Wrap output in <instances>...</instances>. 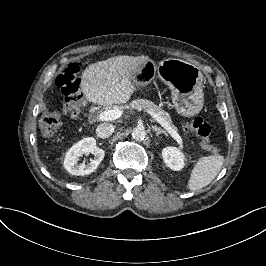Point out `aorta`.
<instances>
[{
  "label": "aorta",
  "mask_w": 266,
  "mask_h": 266,
  "mask_svg": "<svg viewBox=\"0 0 266 266\" xmlns=\"http://www.w3.org/2000/svg\"><path fill=\"white\" fill-rule=\"evenodd\" d=\"M147 133L143 126H136L132 130V137L137 141H142L145 139Z\"/></svg>",
  "instance_id": "762f6f07"
}]
</instances>
